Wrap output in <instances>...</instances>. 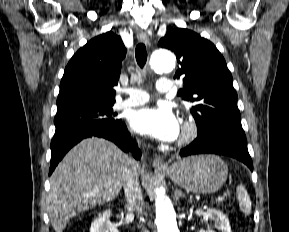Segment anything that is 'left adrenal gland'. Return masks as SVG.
Listing matches in <instances>:
<instances>
[{"mask_svg": "<svg viewBox=\"0 0 289 232\" xmlns=\"http://www.w3.org/2000/svg\"><path fill=\"white\" fill-rule=\"evenodd\" d=\"M185 195L180 191L179 189H175L174 197L176 200H179V198L184 197Z\"/></svg>", "mask_w": 289, "mask_h": 232, "instance_id": "left-adrenal-gland-1", "label": "left adrenal gland"}]
</instances>
